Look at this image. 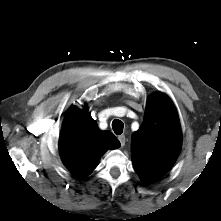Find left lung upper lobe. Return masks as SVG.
I'll list each match as a JSON object with an SVG mask.
<instances>
[{
    "label": "left lung upper lobe",
    "instance_id": "left-lung-upper-lobe-1",
    "mask_svg": "<svg viewBox=\"0 0 221 221\" xmlns=\"http://www.w3.org/2000/svg\"><path fill=\"white\" fill-rule=\"evenodd\" d=\"M181 149V131L176 110L163 93L148 100L144 120L131 137L134 169L144 182L163 176L173 166Z\"/></svg>",
    "mask_w": 221,
    "mask_h": 221
}]
</instances>
